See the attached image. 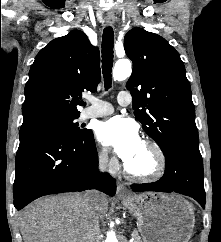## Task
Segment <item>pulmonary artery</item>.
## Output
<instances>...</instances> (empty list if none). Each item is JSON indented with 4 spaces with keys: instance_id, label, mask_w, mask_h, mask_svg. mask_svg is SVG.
I'll return each mask as SVG.
<instances>
[{
    "instance_id": "obj_1",
    "label": "pulmonary artery",
    "mask_w": 221,
    "mask_h": 242,
    "mask_svg": "<svg viewBox=\"0 0 221 242\" xmlns=\"http://www.w3.org/2000/svg\"><path fill=\"white\" fill-rule=\"evenodd\" d=\"M117 100L121 106H127L131 103V97L127 92H120ZM89 102L90 106H88L82 114L84 119L108 116L114 111L112 105L108 102L95 98H90Z\"/></svg>"
}]
</instances>
